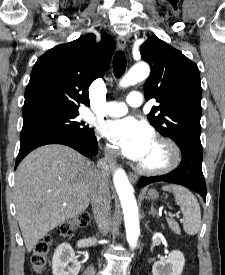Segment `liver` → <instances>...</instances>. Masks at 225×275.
<instances>
[{"instance_id":"1","label":"liver","mask_w":225,"mask_h":275,"mask_svg":"<svg viewBox=\"0 0 225 275\" xmlns=\"http://www.w3.org/2000/svg\"><path fill=\"white\" fill-rule=\"evenodd\" d=\"M95 171L90 160L59 144L39 147L22 160L14 200L28 252L49 231L87 209Z\"/></svg>"}]
</instances>
